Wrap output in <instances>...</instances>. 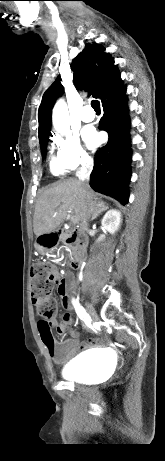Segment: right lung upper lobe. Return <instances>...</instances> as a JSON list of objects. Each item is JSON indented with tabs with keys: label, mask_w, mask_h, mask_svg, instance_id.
Returning a JSON list of instances; mask_svg holds the SVG:
<instances>
[{
	"label": "right lung upper lobe",
	"mask_w": 165,
	"mask_h": 461,
	"mask_svg": "<svg viewBox=\"0 0 165 461\" xmlns=\"http://www.w3.org/2000/svg\"><path fill=\"white\" fill-rule=\"evenodd\" d=\"M73 82L79 89L90 92L99 98L102 105L112 102L126 91L120 78L114 58L105 52L100 44L87 43L85 48L72 61ZM62 92L59 81H55L44 93L39 107V138L50 133L51 109L56 98Z\"/></svg>",
	"instance_id": "obj_1"
}]
</instances>
